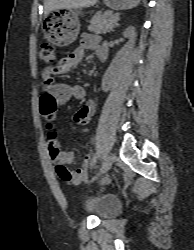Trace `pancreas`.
I'll return each mask as SVG.
<instances>
[{
  "instance_id": "obj_1",
  "label": "pancreas",
  "mask_w": 194,
  "mask_h": 250,
  "mask_svg": "<svg viewBox=\"0 0 194 250\" xmlns=\"http://www.w3.org/2000/svg\"><path fill=\"white\" fill-rule=\"evenodd\" d=\"M114 18L115 16L111 12L97 13L92 17L88 30L95 34L110 33L118 25Z\"/></svg>"
}]
</instances>
